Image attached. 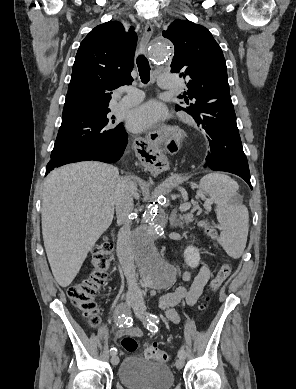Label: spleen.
Masks as SVG:
<instances>
[{"label": "spleen", "mask_w": 296, "mask_h": 389, "mask_svg": "<svg viewBox=\"0 0 296 389\" xmlns=\"http://www.w3.org/2000/svg\"><path fill=\"white\" fill-rule=\"evenodd\" d=\"M199 185L217 205L220 245L231 258H240L246 247L249 213L237 196L238 184L227 175L209 173L200 180Z\"/></svg>", "instance_id": "spleen-1"}]
</instances>
